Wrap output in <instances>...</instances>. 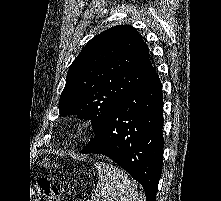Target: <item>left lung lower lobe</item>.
<instances>
[{
  "label": "left lung lower lobe",
  "mask_w": 221,
  "mask_h": 201,
  "mask_svg": "<svg viewBox=\"0 0 221 201\" xmlns=\"http://www.w3.org/2000/svg\"><path fill=\"white\" fill-rule=\"evenodd\" d=\"M162 109V86L153 73L118 102L81 150L111 158L142 184L147 201H156L162 170Z\"/></svg>",
  "instance_id": "0a47b994"
}]
</instances>
